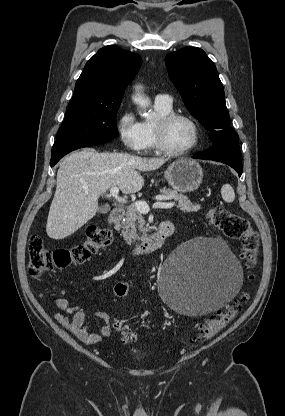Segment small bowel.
I'll use <instances>...</instances> for the list:
<instances>
[{"instance_id":"small-bowel-1","label":"small bowel","mask_w":285,"mask_h":416,"mask_svg":"<svg viewBox=\"0 0 285 416\" xmlns=\"http://www.w3.org/2000/svg\"><path fill=\"white\" fill-rule=\"evenodd\" d=\"M56 307L67 315H71L69 319L62 313H55V320L65 329L71 332L78 340L86 344H96L108 338L112 333V322L110 315L105 311H97L95 316L102 320L103 323L99 327L97 333H90V321L86 319V314L80 306H73L63 297L55 299Z\"/></svg>"}]
</instances>
